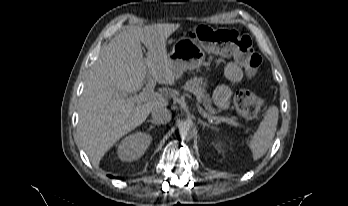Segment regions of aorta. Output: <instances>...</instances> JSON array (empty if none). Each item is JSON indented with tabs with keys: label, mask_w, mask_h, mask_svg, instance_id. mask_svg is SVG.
<instances>
[{
	"label": "aorta",
	"mask_w": 348,
	"mask_h": 206,
	"mask_svg": "<svg viewBox=\"0 0 348 206\" xmlns=\"http://www.w3.org/2000/svg\"><path fill=\"white\" fill-rule=\"evenodd\" d=\"M179 135L183 140H190L195 134V128L192 123L181 122L178 126Z\"/></svg>",
	"instance_id": "aorta-1"
}]
</instances>
